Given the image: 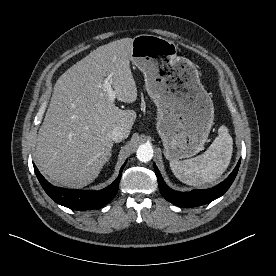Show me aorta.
Masks as SVG:
<instances>
[{
	"label": "aorta",
	"instance_id": "aorta-1",
	"mask_svg": "<svg viewBox=\"0 0 276 276\" xmlns=\"http://www.w3.org/2000/svg\"><path fill=\"white\" fill-rule=\"evenodd\" d=\"M137 159L141 162H148L153 157V148L150 144H142L136 152Z\"/></svg>",
	"mask_w": 276,
	"mask_h": 276
}]
</instances>
